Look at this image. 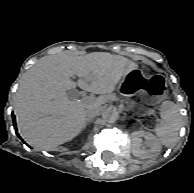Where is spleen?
Instances as JSON below:
<instances>
[{
    "instance_id": "spleen-1",
    "label": "spleen",
    "mask_w": 194,
    "mask_h": 193,
    "mask_svg": "<svg viewBox=\"0 0 194 193\" xmlns=\"http://www.w3.org/2000/svg\"><path fill=\"white\" fill-rule=\"evenodd\" d=\"M180 108L172 101H164L160 108L161 120L155 128L156 135L161 144L166 147L173 146L182 126Z\"/></svg>"
}]
</instances>
